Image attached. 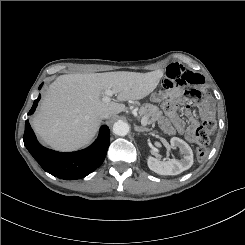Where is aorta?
Wrapping results in <instances>:
<instances>
[{
  "mask_svg": "<svg viewBox=\"0 0 245 245\" xmlns=\"http://www.w3.org/2000/svg\"><path fill=\"white\" fill-rule=\"evenodd\" d=\"M112 131L115 135L125 136L129 132V125L123 121H117L114 123Z\"/></svg>",
  "mask_w": 245,
  "mask_h": 245,
  "instance_id": "762f6f07",
  "label": "aorta"
}]
</instances>
